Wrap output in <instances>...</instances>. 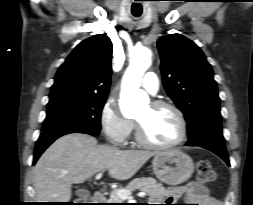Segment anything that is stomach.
<instances>
[{
    "label": "stomach",
    "mask_w": 253,
    "mask_h": 205,
    "mask_svg": "<svg viewBox=\"0 0 253 205\" xmlns=\"http://www.w3.org/2000/svg\"><path fill=\"white\" fill-rule=\"evenodd\" d=\"M152 166L156 177L168 185L185 182L194 171L191 157L177 149L156 154Z\"/></svg>",
    "instance_id": "0dacf381"
}]
</instances>
